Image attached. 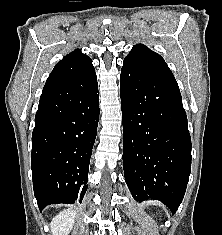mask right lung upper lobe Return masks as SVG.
<instances>
[{
  "mask_svg": "<svg viewBox=\"0 0 222 235\" xmlns=\"http://www.w3.org/2000/svg\"><path fill=\"white\" fill-rule=\"evenodd\" d=\"M93 70L94 67L90 57L83 54L81 49H76L56 64L48 79L64 81L87 74Z\"/></svg>",
  "mask_w": 222,
  "mask_h": 235,
  "instance_id": "cb5924a9",
  "label": "right lung upper lobe"
}]
</instances>
